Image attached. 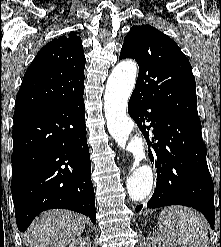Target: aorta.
<instances>
[{
    "label": "aorta",
    "instance_id": "1",
    "mask_svg": "<svg viewBox=\"0 0 221 247\" xmlns=\"http://www.w3.org/2000/svg\"><path fill=\"white\" fill-rule=\"evenodd\" d=\"M137 75L136 64L120 62L109 76L104 94V112L107 127L117 144L125 148L134 129L126 115L128 99L134 88ZM127 192L132 201L144 200L152 190L153 171L145 164L136 168L126 180Z\"/></svg>",
    "mask_w": 221,
    "mask_h": 247
}]
</instances>
